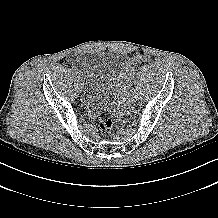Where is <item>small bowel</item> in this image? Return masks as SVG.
I'll return each mask as SVG.
<instances>
[{
    "instance_id": "small-bowel-1",
    "label": "small bowel",
    "mask_w": 218,
    "mask_h": 218,
    "mask_svg": "<svg viewBox=\"0 0 218 218\" xmlns=\"http://www.w3.org/2000/svg\"><path fill=\"white\" fill-rule=\"evenodd\" d=\"M69 61H70V62H73V61H74V57H73V56H70V57H69Z\"/></svg>"
}]
</instances>
